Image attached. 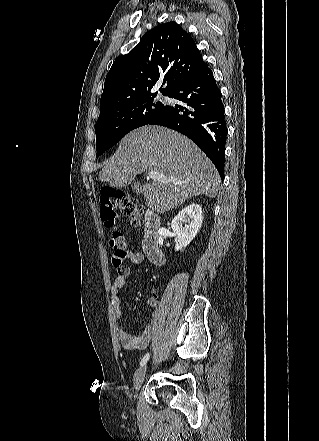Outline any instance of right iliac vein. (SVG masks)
Returning a JSON list of instances; mask_svg holds the SVG:
<instances>
[{"label":"right iliac vein","instance_id":"obj_1","mask_svg":"<svg viewBox=\"0 0 319 441\" xmlns=\"http://www.w3.org/2000/svg\"><path fill=\"white\" fill-rule=\"evenodd\" d=\"M146 374V365L139 368L134 376V388L138 391L143 383L144 377Z\"/></svg>","mask_w":319,"mask_h":441}]
</instances>
